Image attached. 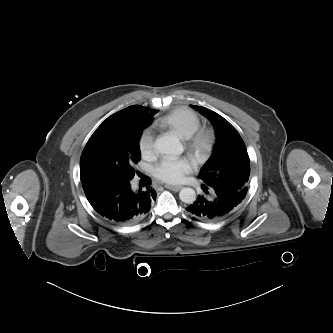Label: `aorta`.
<instances>
[{
  "label": "aorta",
  "mask_w": 333,
  "mask_h": 333,
  "mask_svg": "<svg viewBox=\"0 0 333 333\" xmlns=\"http://www.w3.org/2000/svg\"><path fill=\"white\" fill-rule=\"evenodd\" d=\"M155 148L162 154L174 155H180L184 150L179 139L169 136L156 139ZM179 198L184 203L192 204L196 200V192L190 187H185L179 192Z\"/></svg>",
  "instance_id": "aorta-1"
}]
</instances>
